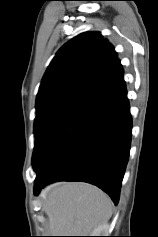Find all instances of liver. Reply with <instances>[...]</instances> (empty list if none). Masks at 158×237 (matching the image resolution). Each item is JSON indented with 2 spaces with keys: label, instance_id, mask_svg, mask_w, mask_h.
<instances>
[{
  "label": "liver",
  "instance_id": "obj_1",
  "mask_svg": "<svg viewBox=\"0 0 158 237\" xmlns=\"http://www.w3.org/2000/svg\"><path fill=\"white\" fill-rule=\"evenodd\" d=\"M41 197L51 236H88L113 213L107 194L86 183L51 184Z\"/></svg>",
  "mask_w": 158,
  "mask_h": 237
}]
</instances>
